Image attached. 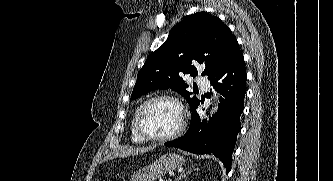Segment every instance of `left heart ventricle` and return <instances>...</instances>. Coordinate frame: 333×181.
Wrapping results in <instances>:
<instances>
[{"label": "left heart ventricle", "instance_id": "1", "mask_svg": "<svg viewBox=\"0 0 333 181\" xmlns=\"http://www.w3.org/2000/svg\"><path fill=\"white\" fill-rule=\"evenodd\" d=\"M179 107L168 100H159L150 104L142 116V126L154 136L167 135L180 124Z\"/></svg>", "mask_w": 333, "mask_h": 181}]
</instances>
